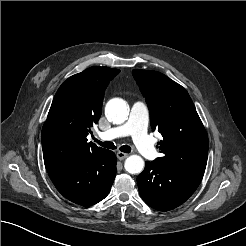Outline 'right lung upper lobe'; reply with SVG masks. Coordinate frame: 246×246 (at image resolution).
I'll list each match as a JSON object with an SVG mask.
<instances>
[{
	"mask_svg": "<svg viewBox=\"0 0 246 246\" xmlns=\"http://www.w3.org/2000/svg\"><path fill=\"white\" fill-rule=\"evenodd\" d=\"M120 70L90 67L69 77L58 89L42 128L45 167L79 158H89L107 151L87 142L91 127L102 113V102L109 81Z\"/></svg>",
	"mask_w": 246,
	"mask_h": 246,
	"instance_id": "obj_1",
	"label": "right lung upper lobe"
}]
</instances>
